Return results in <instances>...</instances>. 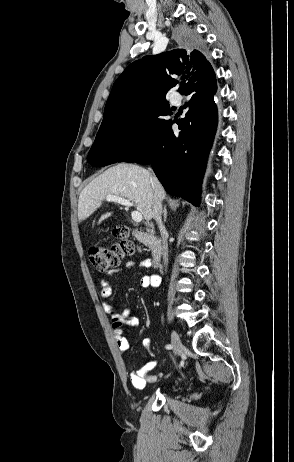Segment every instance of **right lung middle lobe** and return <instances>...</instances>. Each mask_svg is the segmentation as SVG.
<instances>
[{
  "label": "right lung middle lobe",
  "instance_id": "dd1d6c3e",
  "mask_svg": "<svg viewBox=\"0 0 294 462\" xmlns=\"http://www.w3.org/2000/svg\"><path fill=\"white\" fill-rule=\"evenodd\" d=\"M178 36L191 46L203 47V40L192 30L183 28ZM166 98L150 99L123 112L103 118L87 160L96 167L122 162L144 144L165 122L169 114Z\"/></svg>",
  "mask_w": 294,
  "mask_h": 462
}]
</instances>
